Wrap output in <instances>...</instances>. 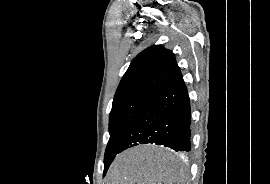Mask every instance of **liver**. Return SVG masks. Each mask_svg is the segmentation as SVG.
Listing matches in <instances>:
<instances>
[{"mask_svg": "<svg viewBox=\"0 0 270 184\" xmlns=\"http://www.w3.org/2000/svg\"><path fill=\"white\" fill-rule=\"evenodd\" d=\"M183 168L155 145H139L116 156L107 173V184H188Z\"/></svg>", "mask_w": 270, "mask_h": 184, "instance_id": "1", "label": "liver"}]
</instances>
